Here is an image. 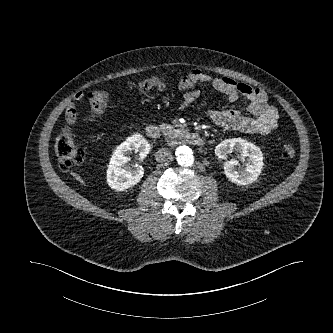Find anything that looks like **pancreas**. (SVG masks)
Listing matches in <instances>:
<instances>
[{
    "label": "pancreas",
    "mask_w": 333,
    "mask_h": 333,
    "mask_svg": "<svg viewBox=\"0 0 333 333\" xmlns=\"http://www.w3.org/2000/svg\"><path fill=\"white\" fill-rule=\"evenodd\" d=\"M160 129L164 134H171L173 132V127L165 123L160 125Z\"/></svg>",
    "instance_id": "obj_1"
}]
</instances>
